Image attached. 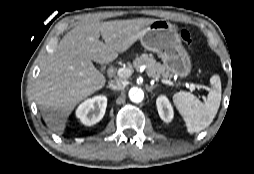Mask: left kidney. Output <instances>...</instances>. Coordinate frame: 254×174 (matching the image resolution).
<instances>
[{
  "mask_svg": "<svg viewBox=\"0 0 254 174\" xmlns=\"http://www.w3.org/2000/svg\"><path fill=\"white\" fill-rule=\"evenodd\" d=\"M156 105L160 118L166 123L171 122L174 111L168 98L164 95L159 96L156 100Z\"/></svg>",
  "mask_w": 254,
  "mask_h": 174,
  "instance_id": "5707ae66",
  "label": "left kidney"
}]
</instances>
